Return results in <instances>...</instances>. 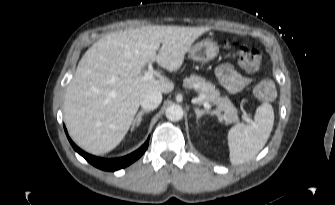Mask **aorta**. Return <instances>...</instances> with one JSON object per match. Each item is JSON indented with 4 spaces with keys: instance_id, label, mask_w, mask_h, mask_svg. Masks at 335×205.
I'll return each mask as SVG.
<instances>
[{
    "instance_id": "obj_1",
    "label": "aorta",
    "mask_w": 335,
    "mask_h": 205,
    "mask_svg": "<svg viewBox=\"0 0 335 205\" xmlns=\"http://www.w3.org/2000/svg\"><path fill=\"white\" fill-rule=\"evenodd\" d=\"M165 115L170 121H179L183 117V109L180 105L173 104L166 109Z\"/></svg>"
}]
</instances>
